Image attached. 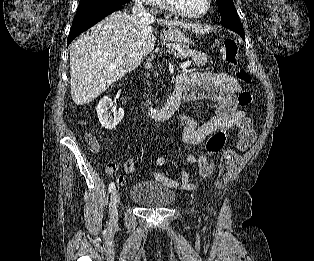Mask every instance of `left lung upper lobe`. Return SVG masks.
I'll return each mask as SVG.
<instances>
[{
  "label": "left lung upper lobe",
  "mask_w": 314,
  "mask_h": 261,
  "mask_svg": "<svg viewBox=\"0 0 314 261\" xmlns=\"http://www.w3.org/2000/svg\"><path fill=\"white\" fill-rule=\"evenodd\" d=\"M222 18V26L237 33H243V25L239 20L233 0H216Z\"/></svg>",
  "instance_id": "left-lung-upper-lobe-1"
}]
</instances>
